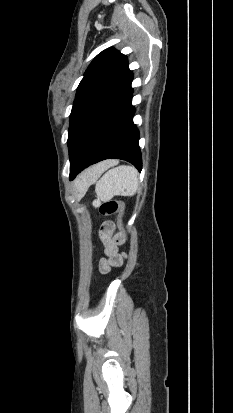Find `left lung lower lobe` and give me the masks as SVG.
<instances>
[{
  "mask_svg": "<svg viewBox=\"0 0 233 413\" xmlns=\"http://www.w3.org/2000/svg\"><path fill=\"white\" fill-rule=\"evenodd\" d=\"M132 80L131 72L122 87L87 127L70 161V180L84 168L108 158L126 160L141 171L139 131L132 121L135 113L131 104Z\"/></svg>",
  "mask_w": 233,
  "mask_h": 413,
  "instance_id": "left-lung-lower-lobe-1",
  "label": "left lung lower lobe"
}]
</instances>
